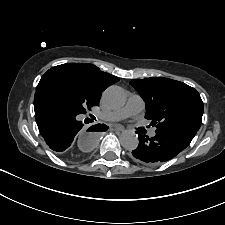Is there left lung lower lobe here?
I'll use <instances>...</instances> for the list:
<instances>
[{
	"label": "left lung lower lobe",
	"instance_id": "0a47b994",
	"mask_svg": "<svg viewBox=\"0 0 225 225\" xmlns=\"http://www.w3.org/2000/svg\"><path fill=\"white\" fill-rule=\"evenodd\" d=\"M139 145L132 151L134 160L147 165H157L174 158L192 141L196 130L181 129L176 131L156 133L152 138L136 132Z\"/></svg>",
	"mask_w": 225,
	"mask_h": 225
}]
</instances>
